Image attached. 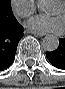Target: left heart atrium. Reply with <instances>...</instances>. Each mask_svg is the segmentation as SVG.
Listing matches in <instances>:
<instances>
[{
    "label": "left heart atrium",
    "instance_id": "39dd6f15",
    "mask_svg": "<svg viewBox=\"0 0 65 89\" xmlns=\"http://www.w3.org/2000/svg\"><path fill=\"white\" fill-rule=\"evenodd\" d=\"M28 27L38 32L61 33L64 20L60 16L38 15L28 22Z\"/></svg>",
    "mask_w": 65,
    "mask_h": 89
}]
</instances>
